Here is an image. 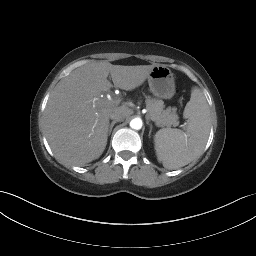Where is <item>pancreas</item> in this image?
<instances>
[{"label":"pancreas","instance_id":"1","mask_svg":"<svg viewBox=\"0 0 256 256\" xmlns=\"http://www.w3.org/2000/svg\"><path fill=\"white\" fill-rule=\"evenodd\" d=\"M146 108L148 110L147 119L154 121L158 127H171L179 124V117L175 110L171 107L164 109V102L160 99L148 97L146 99Z\"/></svg>","mask_w":256,"mask_h":256}]
</instances>
